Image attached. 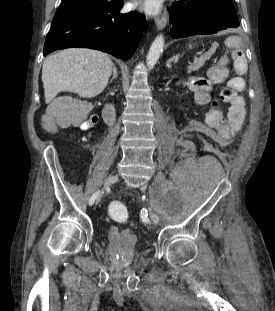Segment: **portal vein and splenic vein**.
<instances>
[{"instance_id":"18ae733b","label":"portal vein and splenic vein","mask_w":275,"mask_h":311,"mask_svg":"<svg viewBox=\"0 0 275 311\" xmlns=\"http://www.w3.org/2000/svg\"><path fill=\"white\" fill-rule=\"evenodd\" d=\"M213 53H214V51L210 50L205 55H203L198 61H196V63H195L196 68H199L200 66H202L205 63L206 59H209Z\"/></svg>"}]
</instances>
